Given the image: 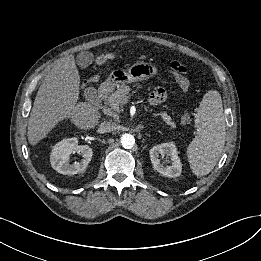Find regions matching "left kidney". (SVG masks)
I'll return each instance as SVG.
<instances>
[{
  "instance_id": "left-kidney-1",
  "label": "left kidney",
  "mask_w": 261,
  "mask_h": 261,
  "mask_svg": "<svg viewBox=\"0 0 261 261\" xmlns=\"http://www.w3.org/2000/svg\"><path fill=\"white\" fill-rule=\"evenodd\" d=\"M167 155L166 162L171 165L165 166L161 163L159 156L162 158ZM150 159L154 169L166 177H178L182 171V164L178 157L177 148L173 142L163 143L154 146L150 150Z\"/></svg>"
}]
</instances>
